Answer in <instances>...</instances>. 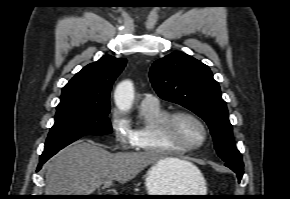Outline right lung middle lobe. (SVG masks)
Returning <instances> with one entry per match:
<instances>
[{"instance_id": "dd1d6c3e", "label": "right lung middle lobe", "mask_w": 290, "mask_h": 199, "mask_svg": "<svg viewBox=\"0 0 290 199\" xmlns=\"http://www.w3.org/2000/svg\"><path fill=\"white\" fill-rule=\"evenodd\" d=\"M110 105H74L57 108L43 153L61 150L82 136L110 134Z\"/></svg>"}]
</instances>
